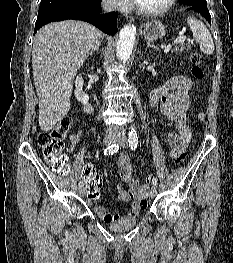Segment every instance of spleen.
<instances>
[{"label": "spleen", "mask_w": 233, "mask_h": 263, "mask_svg": "<svg viewBox=\"0 0 233 263\" xmlns=\"http://www.w3.org/2000/svg\"><path fill=\"white\" fill-rule=\"evenodd\" d=\"M187 24L191 28L195 41L199 43L200 50L206 55H211L214 52L215 46L207 27L194 17H189Z\"/></svg>", "instance_id": "1"}]
</instances>
